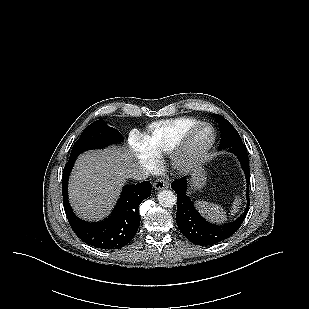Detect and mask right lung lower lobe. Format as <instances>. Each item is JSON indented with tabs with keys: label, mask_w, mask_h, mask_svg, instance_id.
<instances>
[{
	"label": "right lung lower lobe",
	"mask_w": 309,
	"mask_h": 309,
	"mask_svg": "<svg viewBox=\"0 0 309 309\" xmlns=\"http://www.w3.org/2000/svg\"><path fill=\"white\" fill-rule=\"evenodd\" d=\"M75 158L70 159L63 171L62 193L64 210L71 228L85 243L100 249L114 250L127 245L140 225L139 205L151 194V183L144 181L127 185L108 218L100 222H85L75 216L68 201L67 184Z\"/></svg>",
	"instance_id": "right-lung-lower-lobe-1"
}]
</instances>
